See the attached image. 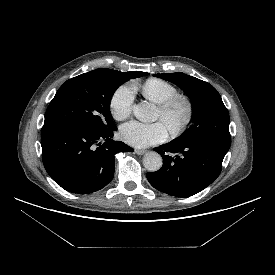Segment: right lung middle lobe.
<instances>
[{
    "mask_svg": "<svg viewBox=\"0 0 275 275\" xmlns=\"http://www.w3.org/2000/svg\"><path fill=\"white\" fill-rule=\"evenodd\" d=\"M131 78L124 72L100 68L67 80L50 102L44 124L69 123L92 130L114 128L110 97Z\"/></svg>",
    "mask_w": 275,
    "mask_h": 275,
    "instance_id": "obj_1",
    "label": "right lung middle lobe"
}]
</instances>
